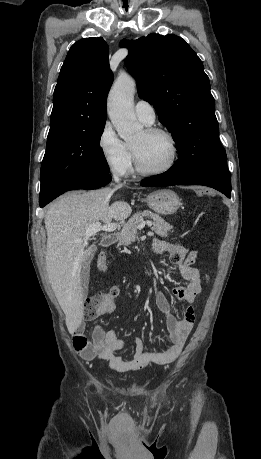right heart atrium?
I'll list each match as a JSON object with an SVG mask.
<instances>
[{
    "label": "right heart atrium",
    "instance_id": "right-heart-atrium-1",
    "mask_svg": "<svg viewBox=\"0 0 261 459\" xmlns=\"http://www.w3.org/2000/svg\"><path fill=\"white\" fill-rule=\"evenodd\" d=\"M99 151L111 172L127 175L131 172L133 158L128 145L117 135L112 124H103L97 139Z\"/></svg>",
    "mask_w": 261,
    "mask_h": 459
}]
</instances>
